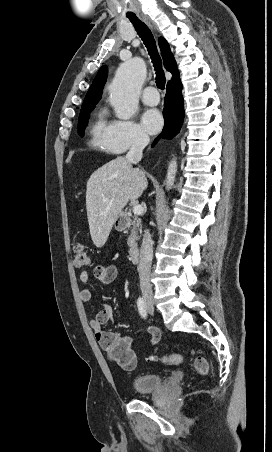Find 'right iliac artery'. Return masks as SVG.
Returning a JSON list of instances; mask_svg holds the SVG:
<instances>
[{
  "mask_svg": "<svg viewBox=\"0 0 272 452\" xmlns=\"http://www.w3.org/2000/svg\"><path fill=\"white\" fill-rule=\"evenodd\" d=\"M137 306H138V310H139L140 315L143 318H146L147 317V310H146V305H145V302H144L143 298H141V297L138 298Z\"/></svg>",
  "mask_w": 272,
  "mask_h": 452,
  "instance_id": "82829eb1",
  "label": "right iliac artery"
}]
</instances>
